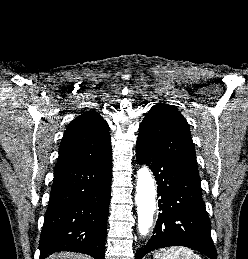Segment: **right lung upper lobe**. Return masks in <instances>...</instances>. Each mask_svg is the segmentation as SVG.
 <instances>
[{
	"instance_id": "obj_1",
	"label": "right lung upper lobe",
	"mask_w": 248,
	"mask_h": 259,
	"mask_svg": "<svg viewBox=\"0 0 248 259\" xmlns=\"http://www.w3.org/2000/svg\"><path fill=\"white\" fill-rule=\"evenodd\" d=\"M109 153L111 137L107 122L96 111H87L67 127L55 169L93 162Z\"/></svg>"
}]
</instances>
